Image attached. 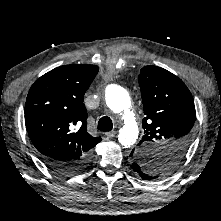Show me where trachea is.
<instances>
[{
	"label": "trachea",
	"mask_w": 221,
	"mask_h": 221,
	"mask_svg": "<svg viewBox=\"0 0 221 221\" xmlns=\"http://www.w3.org/2000/svg\"><path fill=\"white\" fill-rule=\"evenodd\" d=\"M97 128L98 130L104 131V132L111 131L113 128L112 120L107 116L102 117L98 122Z\"/></svg>",
	"instance_id": "obj_1"
}]
</instances>
